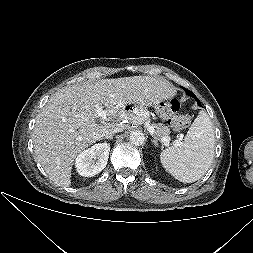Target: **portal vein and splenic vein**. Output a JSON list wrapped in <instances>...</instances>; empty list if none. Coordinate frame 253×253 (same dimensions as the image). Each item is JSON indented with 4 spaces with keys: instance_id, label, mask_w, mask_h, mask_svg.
Listing matches in <instances>:
<instances>
[{
    "instance_id": "18ae733b",
    "label": "portal vein and splenic vein",
    "mask_w": 253,
    "mask_h": 253,
    "mask_svg": "<svg viewBox=\"0 0 253 253\" xmlns=\"http://www.w3.org/2000/svg\"><path fill=\"white\" fill-rule=\"evenodd\" d=\"M96 113H97L98 117H99L102 121H104V120L106 119V112L103 110L102 107L98 106V107L96 108ZM148 131H149L151 134H154V133H155V128H154L153 126H149V127H148ZM162 141H163L164 143H169L170 138H169L168 136H163V137H162Z\"/></svg>"
}]
</instances>
